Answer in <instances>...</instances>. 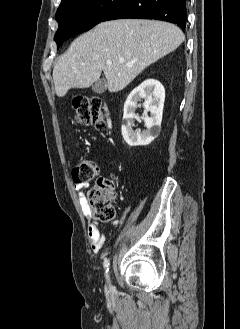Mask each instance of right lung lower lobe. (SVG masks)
<instances>
[{"mask_svg":"<svg viewBox=\"0 0 240 329\" xmlns=\"http://www.w3.org/2000/svg\"><path fill=\"white\" fill-rule=\"evenodd\" d=\"M123 18L156 19L186 27V0H123L103 20Z\"/></svg>","mask_w":240,"mask_h":329,"instance_id":"right-lung-lower-lobe-1","label":"right lung lower lobe"}]
</instances>
